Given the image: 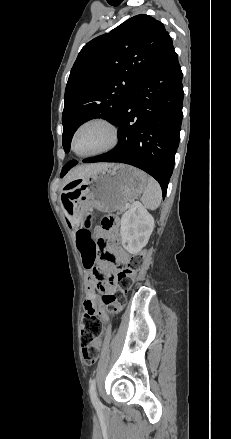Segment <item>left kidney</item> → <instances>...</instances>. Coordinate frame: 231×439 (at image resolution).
Masks as SVG:
<instances>
[{
	"instance_id": "left-kidney-1",
	"label": "left kidney",
	"mask_w": 231,
	"mask_h": 439,
	"mask_svg": "<svg viewBox=\"0 0 231 439\" xmlns=\"http://www.w3.org/2000/svg\"><path fill=\"white\" fill-rule=\"evenodd\" d=\"M121 242L130 254L146 246L154 228V218L140 202H134L120 221Z\"/></svg>"
}]
</instances>
